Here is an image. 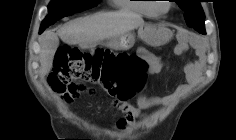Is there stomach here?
<instances>
[{
  "instance_id": "obj_1",
  "label": "stomach",
  "mask_w": 236,
  "mask_h": 140,
  "mask_svg": "<svg viewBox=\"0 0 236 140\" xmlns=\"http://www.w3.org/2000/svg\"><path fill=\"white\" fill-rule=\"evenodd\" d=\"M138 35L146 43L160 46L171 39L172 31L162 24H146L139 28ZM134 42V34L129 31L119 37L112 38L109 45L117 49H128L133 46Z\"/></svg>"
}]
</instances>
